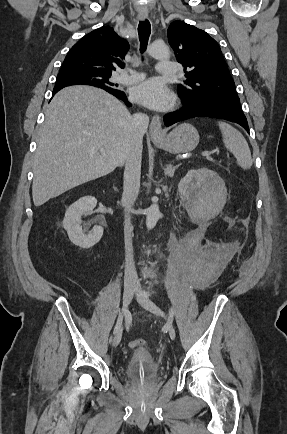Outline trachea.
Masks as SVG:
<instances>
[{
  "label": "trachea",
  "instance_id": "obj_1",
  "mask_svg": "<svg viewBox=\"0 0 287 434\" xmlns=\"http://www.w3.org/2000/svg\"><path fill=\"white\" fill-rule=\"evenodd\" d=\"M138 34L140 40V51L143 53L146 50L148 39L151 34V25L148 20L139 22Z\"/></svg>",
  "mask_w": 287,
  "mask_h": 434
}]
</instances>
